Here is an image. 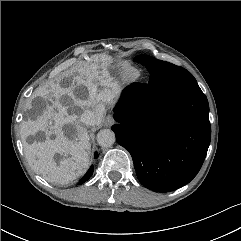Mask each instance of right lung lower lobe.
I'll list each match as a JSON object with an SVG mask.
<instances>
[{"instance_id": "obj_1", "label": "right lung lower lobe", "mask_w": 241, "mask_h": 241, "mask_svg": "<svg viewBox=\"0 0 241 241\" xmlns=\"http://www.w3.org/2000/svg\"><path fill=\"white\" fill-rule=\"evenodd\" d=\"M95 157H97V153L95 154ZM92 173H93V166L90 167V169L87 171L85 176L81 179L80 184L87 181L91 177Z\"/></svg>"}]
</instances>
